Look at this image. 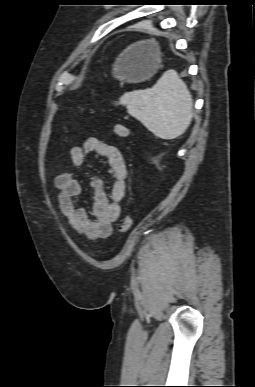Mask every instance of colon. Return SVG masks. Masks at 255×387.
<instances>
[{
    "mask_svg": "<svg viewBox=\"0 0 255 387\" xmlns=\"http://www.w3.org/2000/svg\"><path fill=\"white\" fill-rule=\"evenodd\" d=\"M113 132L118 138H126L129 135L128 128L121 123H116L114 125ZM132 223H133V220L130 215L124 216V218L122 219L119 225V231L120 232L128 231L131 228Z\"/></svg>",
    "mask_w": 255,
    "mask_h": 387,
    "instance_id": "1",
    "label": "colon"
}]
</instances>
